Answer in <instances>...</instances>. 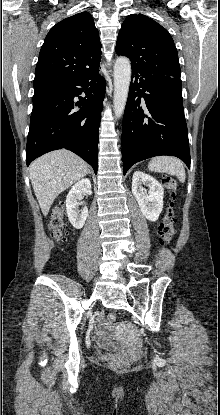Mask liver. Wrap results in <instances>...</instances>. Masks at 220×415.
<instances>
[{"label":"liver","instance_id":"liver-1","mask_svg":"<svg viewBox=\"0 0 220 415\" xmlns=\"http://www.w3.org/2000/svg\"><path fill=\"white\" fill-rule=\"evenodd\" d=\"M88 165L67 150H57L36 159L29 176L41 211L47 216L56 197L88 174Z\"/></svg>","mask_w":220,"mask_h":415}]
</instances>
